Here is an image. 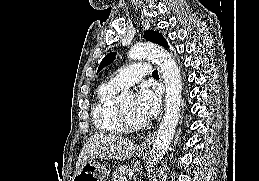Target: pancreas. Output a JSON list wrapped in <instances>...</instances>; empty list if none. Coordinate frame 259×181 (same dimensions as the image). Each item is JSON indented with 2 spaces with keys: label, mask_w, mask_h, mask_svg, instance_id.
I'll return each instance as SVG.
<instances>
[{
  "label": "pancreas",
  "mask_w": 259,
  "mask_h": 181,
  "mask_svg": "<svg viewBox=\"0 0 259 181\" xmlns=\"http://www.w3.org/2000/svg\"><path fill=\"white\" fill-rule=\"evenodd\" d=\"M129 169L127 166H121L117 170L112 173L111 180L112 181H120V178L126 177Z\"/></svg>",
  "instance_id": "1"
}]
</instances>
